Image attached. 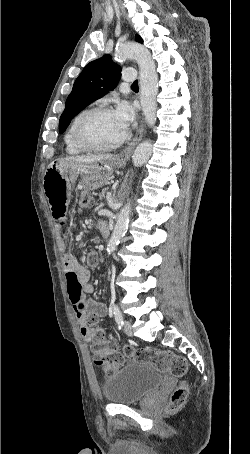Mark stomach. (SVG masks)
I'll return each instance as SVG.
<instances>
[{"label": "stomach", "instance_id": "0dacf381", "mask_svg": "<svg viewBox=\"0 0 250 454\" xmlns=\"http://www.w3.org/2000/svg\"><path fill=\"white\" fill-rule=\"evenodd\" d=\"M126 159L112 157L111 159L87 165H71L65 162H52L46 169L44 176H78L87 189H97L103 186L112 174L113 168L125 166ZM44 187V183H43Z\"/></svg>", "mask_w": 250, "mask_h": 454}]
</instances>
